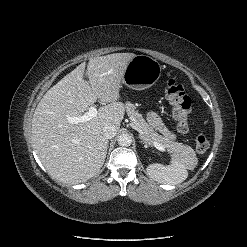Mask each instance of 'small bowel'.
<instances>
[{"label": "small bowel", "mask_w": 247, "mask_h": 247, "mask_svg": "<svg viewBox=\"0 0 247 247\" xmlns=\"http://www.w3.org/2000/svg\"><path fill=\"white\" fill-rule=\"evenodd\" d=\"M147 119L149 123L156 128L163 135L172 138L174 134L165 126L161 117L155 112H149L147 114Z\"/></svg>", "instance_id": "1"}]
</instances>
